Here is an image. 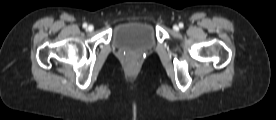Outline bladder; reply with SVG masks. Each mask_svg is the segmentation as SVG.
<instances>
[{"mask_svg":"<svg viewBox=\"0 0 276 120\" xmlns=\"http://www.w3.org/2000/svg\"><path fill=\"white\" fill-rule=\"evenodd\" d=\"M114 43L119 48L149 50L155 44L153 28L146 22L120 24L114 32Z\"/></svg>","mask_w":276,"mask_h":120,"instance_id":"bladder-1","label":"bladder"}]
</instances>
